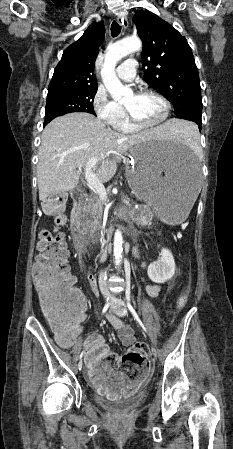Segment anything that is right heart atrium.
Instances as JSON below:
<instances>
[{"label": "right heart atrium", "instance_id": "right-heart-atrium-1", "mask_svg": "<svg viewBox=\"0 0 233 449\" xmlns=\"http://www.w3.org/2000/svg\"><path fill=\"white\" fill-rule=\"evenodd\" d=\"M93 110L98 118L106 123L113 124L122 112V106L112 100L103 87H99L92 99Z\"/></svg>", "mask_w": 233, "mask_h": 449}]
</instances>
